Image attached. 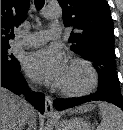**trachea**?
Wrapping results in <instances>:
<instances>
[{
  "mask_svg": "<svg viewBox=\"0 0 123 130\" xmlns=\"http://www.w3.org/2000/svg\"><path fill=\"white\" fill-rule=\"evenodd\" d=\"M35 6L37 10L42 9L45 4V0H34Z\"/></svg>",
  "mask_w": 123,
  "mask_h": 130,
  "instance_id": "obj_1",
  "label": "trachea"
}]
</instances>
